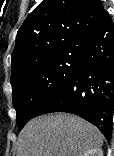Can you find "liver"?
I'll list each match as a JSON object with an SVG mask.
<instances>
[{
  "label": "liver",
  "mask_w": 114,
  "mask_h": 156,
  "mask_svg": "<svg viewBox=\"0 0 114 156\" xmlns=\"http://www.w3.org/2000/svg\"><path fill=\"white\" fill-rule=\"evenodd\" d=\"M103 135L75 115L55 113L29 121L19 134L17 156H82L100 149Z\"/></svg>",
  "instance_id": "obj_1"
}]
</instances>
